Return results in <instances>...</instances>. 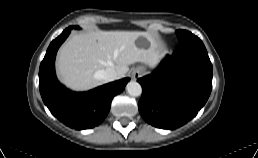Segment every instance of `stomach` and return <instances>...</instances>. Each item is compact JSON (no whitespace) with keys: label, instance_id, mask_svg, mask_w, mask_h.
I'll list each match as a JSON object with an SVG mask.
<instances>
[{"label":"stomach","instance_id":"stomach-1","mask_svg":"<svg viewBox=\"0 0 258 158\" xmlns=\"http://www.w3.org/2000/svg\"><path fill=\"white\" fill-rule=\"evenodd\" d=\"M139 69L142 70L143 72H145V70H146V68L144 66H140Z\"/></svg>","mask_w":258,"mask_h":158}]
</instances>
